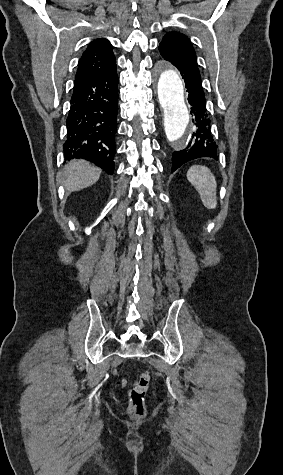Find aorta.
Masks as SVG:
<instances>
[{"label": "aorta", "mask_w": 283, "mask_h": 475, "mask_svg": "<svg viewBox=\"0 0 283 475\" xmlns=\"http://www.w3.org/2000/svg\"><path fill=\"white\" fill-rule=\"evenodd\" d=\"M157 92L163 109V126L167 142L176 150L187 148L192 124L185 103L184 87L176 70L159 67Z\"/></svg>", "instance_id": "1"}]
</instances>
